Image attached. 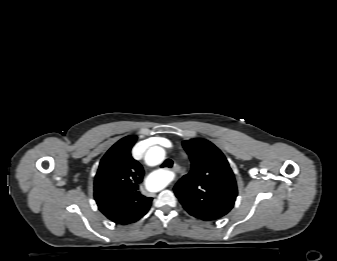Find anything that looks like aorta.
I'll list each match as a JSON object with an SVG mask.
<instances>
[{
    "instance_id": "762f6f07",
    "label": "aorta",
    "mask_w": 337,
    "mask_h": 261,
    "mask_svg": "<svg viewBox=\"0 0 337 261\" xmlns=\"http://www.w3.org/2000/svg\"><path fill=\"white\" fill-rule=\"evenodd\" d=\"M165 158V151L162 147L153 146L149 148L145 154V162L149 166H156L163 162ZM167 173L163 172L159 174L160 184L158 189H162L165 186Z\"/></svg>"
}]
</instances>
